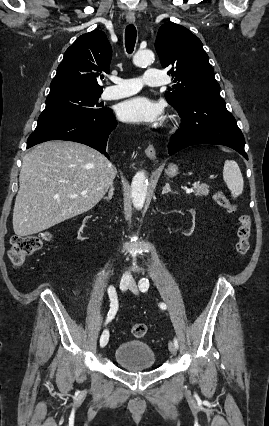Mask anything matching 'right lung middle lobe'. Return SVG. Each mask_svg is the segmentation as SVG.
Wrapping results in <instances>:
<instances>
[{
  "label": "right lung middle lobe",
  "mask_w": 269,
  "mask_h": 426,
  "mask_svg": "<svg viewBox=\"0 0 269 426\" xmlns=\"http://www.w3.org/2000/svg\"><path fill=\"white\" fill-rule=\"evenodd\" d=\"M101 93L77 89L50 92L35 131L103 112L98 102Z\"/></svg>",
  "instance_id": "1"
}]
</instances>
